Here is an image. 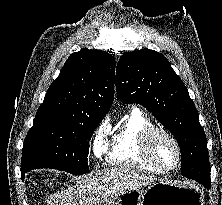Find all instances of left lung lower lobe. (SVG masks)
<instances>
[{
	"instance_id": "0a47b994",
	"label": "left lung lower lobe",
	"mask_w": 222,
	"mask_h": 205,
	"mask_svg": "<svg viewBox=\"0 0 222 205\" xmlns=\"http://www.w3.org/2000/svg\"><path fill=\"white\" fill-rule=\"evenodd\" d=\"M182 155V166L181 171L187 178L194 179L204 185L205 187H210L211 182H201L200 170L203 169V161L194 153H184Z\"/></svg>"
}]
</instances>
